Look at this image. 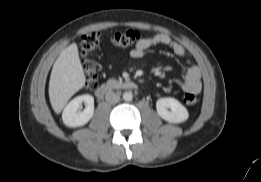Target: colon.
<instances>
[{
	"mask_svg": "<svg viewBox=\"0 0 261 182\" xmlns=\"http://www.w3.org/2000/svg\"><path fill=\"white\" fill-rule=\"evenodd\" d=\"M139 39L140 34L133 30L117 32L111 36V42L119 48H130L136 45ZM100 43L101 34L97 31L85 33L81 37L79 54L82 68L85 73V85L89 89H93L98 85L97 69L89 55L99 47ZM184 102L187 105H195L198 102V98L194 93H186L184 96Z\"/></svg>",
	"mask_w": 261,
	"mask_h": 182,
	"instance_id": "5ec220e1",
	"label": "colon"
}]
</instances>
